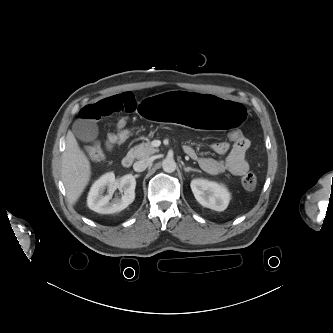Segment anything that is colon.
<instances>
[{
  "instance_id": "obj_1",
  "label": "colon",
  "mask_w": 333,
  "mask_h": 333,
  "mask_svg": "<svg viewBox=\"0 0 333 333\" xmlns=\"http://www.w3.org/2000/svg\"><path fill=\"white\" fill-rule=\"evenodd\" d=\"M117 144H122L126 142L132 136V130L126 125L117 127V132L115 133ZM228 138L232 142L240 141L241 139L245 138L244 134L238 130H230L228 132ZM88 157L95 162H99L104 160L105 153L101 147H89L86 150ZM242 185L247 190H253L257 186V177L253 172H248L242 178Z\"/></svg>"
}]
</instances>
